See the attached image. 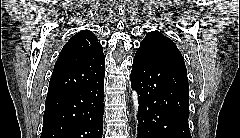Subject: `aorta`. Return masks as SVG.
<instances>
[{
  "mask_svg": "<svg viewBox=\"0 0 240 138\" xmlns=\"http://www.w3.org/2000/svg\"><path fill=\"white\" fill-rule=\"evenodd\" d=\"M133 104L135 107V111H138V94L136 91H133Z\"/></svg>",
  "mask_w": 240,
  "mask_h": 138,
  "instance_id": "1",
  "label": "aorta"
}]
</instances>
